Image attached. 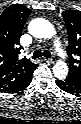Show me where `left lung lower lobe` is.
<instances>
[{"mask_svg":"<svg viewBox=\"0 0 81 124\" xmlns=\"http://www.w3.org/2000/svg\"><path fill=\"white\" fill-rule=\"evenodd\" d=\"M56 85L67 93L74 95L81 94V84L77 83L76 81L70 80L69 78H66L64 80H56Z\"/></svg>","mask_w":81,"mask_h":124,"instance_id":"left-lung-lower-lobe-1","label":"left lung lower lobe"}]
</instances>
